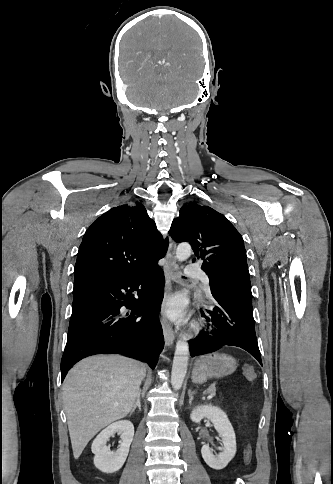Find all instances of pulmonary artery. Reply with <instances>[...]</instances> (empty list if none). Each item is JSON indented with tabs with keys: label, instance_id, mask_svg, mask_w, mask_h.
<instances>
[{
	"label": "pulmonary artery",
	"instance_id": "obj_1",
	"mask_svg": "<svg viewBox=\"0 0 333 484\" xmlns=\"http://www.w3.org/2000/svg\"><path fill=\"white\" fill-rule=\"evenodd\" d=\"M186 274L192 277H197L201 280L203 283L204 288L208 293H210V288H209V283L210 280L209 278L196 266L190 265L186 268Z\"/></svg>",
	"mask_w": 333,
	"mask_h": 484
}]
</instances>
